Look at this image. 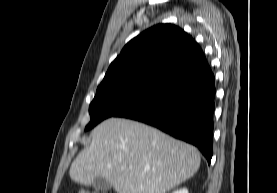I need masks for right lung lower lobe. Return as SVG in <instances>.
Returning <instances> with one entry per match:
<instances>
[{
  "label": "right lung lower lobe",
  "mask_w": 277,
  "mask_h": 193,
  "mask_svg": "<svg viewBox=\"0 0 277 193\" xmlns=\"http://www.w3.org/2000/svg\"><path fill=\"white\" fill-rule=\"evenodd\" d=\"M214 97L215 77L207 64L164 84L115 117L144 122L193 144L210 163Z\"/></svg>",
  "instance_id": "1"
}]
</instances>
